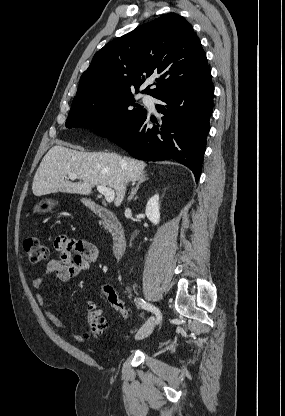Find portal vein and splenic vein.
Wrapping results in <instances>:
<instances>
[{
    "label": "portal vein and splenic vein",
    "mask_w": 285,
    "mask_h": 416,
    "mask_svg": "<svg viewBox=\"0 0 285 416\" xmlns=\"http://www.w3.org/2000/svg\"><path fill=\"white\" fill-rule=\"evenodd\" d=\"M69 180H77L78 176L77 174H68ZM98 192L100 194H103L105 196L106 202H113L115 198V192L112 190V188H106V186H97Z\"/></svg>",
    "instance_id": "obj_1"
}]
</instances>
